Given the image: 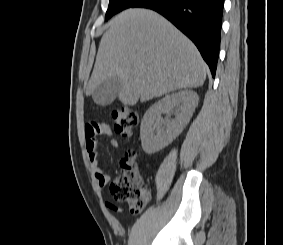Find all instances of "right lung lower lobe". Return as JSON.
Returning a JSON list of instances; mask_svg holds the SVG:
<instances>
[{
    "mask_svg": "<svg viewBox=\"0 0 283 245\" xmlns=\"http://www.w3.org/2000/svg\"><path fill=\"white\" fill-rule=\"evenodd\" d=\"M224 0H140L132 7L157 11L188 36L215 76Z\"/></svg>",
    "mask_w": 283,
    "mask_h": 245,
    "instance_id": "98d812e1",
    "label": "right lung lower lobe"
}]
</instances>
